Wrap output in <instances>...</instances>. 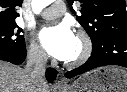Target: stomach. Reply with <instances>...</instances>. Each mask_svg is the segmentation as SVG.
I'll use <instances>...</instances> for the list:
<instances>
[{"instance_id": "obj_1", "label": "stomach", "mask_w": 127, "mask_h": 92, "mask_svg": "<svg viewBox=\"0 0 127 92\" xmlns=\"http://www.w3.org/2000/svg\"><path fill=\"white\" fill-rule=\"evenodd\" d=\"M59 92H127V71L114 66L100 67Z\"/></svg>"}]
</instances>
